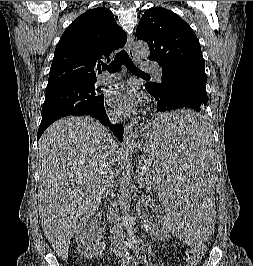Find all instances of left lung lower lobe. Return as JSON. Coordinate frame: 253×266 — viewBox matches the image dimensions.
<instances>
[{
    "instance_id": "0a47b994",
    "label": "left lung lower lobe",
    "mask_w": 253,
    "mask_h": 266,
    "mask_svg": "<svg viewBox=\"0 0 253 266\" xmlns=\"http://www.w3.org/2000/svg\"><path fill=\"white\" fill-rule=\"evenodd\" d=\"M162 82L161 87L150 83L145 85L146 90L157 100V112L192 109L197 116L172 129L177 133L202 134L206 129L203 113L207 105V79L190 71H177L164 76ZM154 131L165 132L169 128L156 126Z\"/></svg>"
}]
</instances>
